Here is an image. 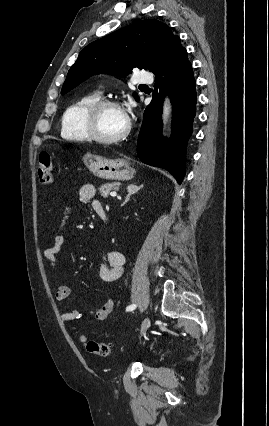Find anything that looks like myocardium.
I'll list each match as a JSON object with an SVG mask.
<instances>
[{
	"instance_id": "1",
	"label": "myocardium",
	"mask_w": 269,
	"mask_h": 426,
	"mask_svg": "<svg viewBox=\"0 0 269 426\" xmlns=\"http://www.w3.org/2000/svg\"><path fill=\"white\" fill-rule=\"evenodd\" d=\"M106 107H116L122 110L121 105L114 100L98 99L87 109L85 113V128L90 139L102 144H117L127 138L131 130V124L129 119H127L124 131L116 137L105 138L101 136L97 130V120L100 112Z\"/></svg>"
}]
</instances>
